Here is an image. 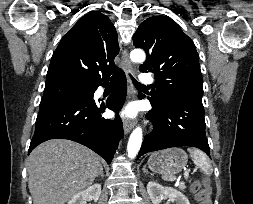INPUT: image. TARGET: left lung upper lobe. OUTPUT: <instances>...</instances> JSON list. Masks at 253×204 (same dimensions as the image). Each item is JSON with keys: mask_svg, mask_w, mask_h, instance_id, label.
Listing matches in <instances>:
<instances>
[{"mask_svg": "<svg viewBox=\"0 0 253 204\" xmlns=\"http://www.w3.org/2000/svg\"><path fill=\"white\" fill-rule=\"evenodd\" d=\"M134 46L147 54L141 72H152L155 89L149 98L157 105L176 100L202 99L199 56L192 40L167 16L142 22L133 36Z\"/></svg>", "mask_w": 253, "mask_h": 204, "instance_id": "5c2ea615", "label": "left lung upper lobe"}]
</instances>
